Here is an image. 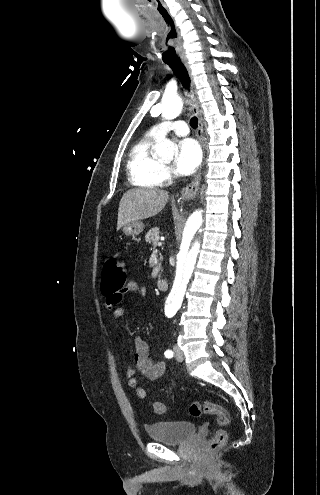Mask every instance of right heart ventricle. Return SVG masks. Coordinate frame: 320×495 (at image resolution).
<instances>
[{
  "label": "right heart ventricle",
  "instance_id": "e07e8e85",
  "mask_svg": "<svg viewBox=\"0 0 320 495\" xmlns=\"http://www.w3.org/2000/svg\"><path fill=\"white\" fill-rule=\"evenodd\" d=\"M157 137L147 133L131 148L127 170L131 183L138 187L154 188L161 184L160 171L162 164L153 153Z\"/></svg>",
  "mask_w": 320,
  "mask_h": 495
}]
</instances>
